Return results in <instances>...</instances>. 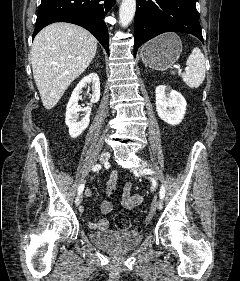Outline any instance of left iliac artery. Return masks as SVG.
Segmentation results:
<instances>
[{"label": "left iliac artery", "mask_w": 240, "mask_h": 281, "mask_svg": "<svg viewBox=\"0 0 240 281\" xmlns=\"http://www.w3.org/2000/svg\"><path fill=\"white\" fill-rule=\"evenodd\" d=\"M140 173H141V174H153L154 171L151 170V169H149V168H145V169H143V170H140ZM159 195H160V198H161V199H164V197H165V188H164L163 185H162L161 188H160Z\"/></svg>", "instance_id": "left-iliac-artery-1"}]
</instances>
